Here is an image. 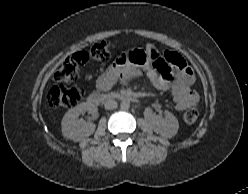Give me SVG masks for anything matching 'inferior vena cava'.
<instances>
[{
    "label": "inferior vena cava",
    "instance_id": "602c4592",
    "mask_svg": "<svg viewBox=\"0 0 248 194\" xmlns=\"http://www.w3.org/2000/svg\"><path fill=\"white\" fill-rule=\"evenodd\" d=\"M104 106H105V109L112 110V109L117 108V102L115 100L110 99L105 102Z\"/></svg>",
    "mask_w": 248,
    "mask_h": 194
}]
</instances>
